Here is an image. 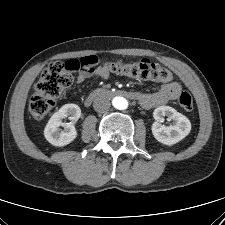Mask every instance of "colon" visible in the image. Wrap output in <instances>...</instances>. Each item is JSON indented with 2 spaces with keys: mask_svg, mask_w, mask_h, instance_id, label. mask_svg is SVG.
I'll use <instances>...</instances> for the list:
<instances>
[{
  "mask_svg": "<svg viewBox=\"0 0 225 225\" xmlns=\"http://www.w3.org/2000/svg\"><path fill=\"white\" fill-rule=\"evenodd\" d=\"M98 64L96 56H86L67 62L53 61L41 73L37 80L34 93L29 100V111L35 119L45 117L54 107L55 99L68 88L73 81V72L90 70ZM103 66L110 73L122 76L136 77L158 82H171L172 72L161 65L151 62L131 63L122 59L107 58ZM180 107L190 112L193 109V100L186 91L178 96Z\"/></svg>",
  "mask_w": 225,
  "mask_h": 225,
  "instance_id": "colon-1",
  "label": "colon"
}]
</instances>
